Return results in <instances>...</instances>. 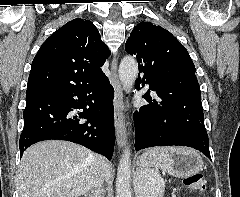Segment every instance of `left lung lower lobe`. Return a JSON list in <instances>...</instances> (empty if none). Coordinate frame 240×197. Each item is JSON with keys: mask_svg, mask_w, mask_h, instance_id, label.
<instances>
[{"mask_svg": "<svg viewBox=\"0 0 240 197\" xmlns=\"http://www.w3.org/2000/svg\"><path fill=\"white\" fill-rule=\"evenodd\" d=\"M138 89L141 79H138ZM143 85L149 84L144 76ZM143 97L149 102L134 113L136 127L135 149L153 146H187L201 151L209 159V138L204 125L201 92L195 89ZM153 91V90H152Z\"/></svg>", "mask_w": 240, "mask_h": 197, "instance_id": "obj_1", "label": "left lung lower lobe"}]
</instances>
